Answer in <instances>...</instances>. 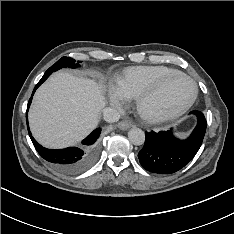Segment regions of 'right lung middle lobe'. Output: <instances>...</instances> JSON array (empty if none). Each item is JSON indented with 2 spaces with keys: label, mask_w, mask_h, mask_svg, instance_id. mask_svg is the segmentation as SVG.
<instances>
[{
  "label": "right lung middle lobe",
  "mask_w": 234,
  "mask_h": 234,
  "mask_svg": "<svg viewBox=\"0 0 234 234\" xmlns=\"http://www.w3.org/2000/svg\"><path fill=\"white\" fill-rule=\"evenodd\" d=\"M80 61H78L79 63ZM78 63H75V60L70 57H62L59 59L53 66H51L44 75L51 74L52 72H55L63 67H69V68H76L80 65Z\"/></svg>",
  "instance_id": "right-lung-middle-lobe-1"
}]
</instances>
